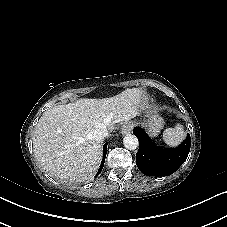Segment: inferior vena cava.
Here are the masks:
<instances>
[{"instance_id":"obj_1","label":"inferior vena cava","mask_w":227,"mask_h":227,"mask_svg":"<svg viewBox=\"0 0 227 227\" xmlns=\"http://www.w3.org/2000/svg\"><path fill=\"white\" fill-rule=\"evenodd\" d=\"M109 135V130L106 126H103L95 131L96 138L103 140Z\"/></svg>"}]
</instances>
